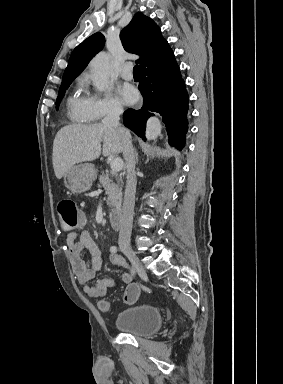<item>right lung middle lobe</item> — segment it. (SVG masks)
<instances>
[{
  "mask_svg": "<svg viewBox=\"0 0 283 384\" xmlns=\"http://www.w3.org/2000/svg\"><path fill=\"white\" fill-rule=\"evenodd\" d=\"M71 82H68V83H63L59 89V93H58V97H57V100H56V109H58V105L60 104L64 94H65V91L68 89V87L70 86Z\"/></svg>",
  "mask_w": 283,
  "mask_h": 384,
  "instance_id": "dd1d6c3e",
  "label": "right lung middle lobe"
}]
</instances>
